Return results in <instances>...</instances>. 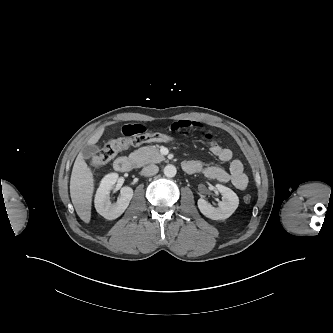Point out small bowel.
<instances>
[{"label":"small bowel","mask_w":333,"mask_h":333,"mask_svg":"<svg viewBox=\"0 0 333 333\" xmlns=\"http://www.w3.org/2000/svg\"><path fill=\"white\" fill-rule=\"evenodd\" d=\"M148 129L141 124H125L122 132L126 136L134 137L146 133ZM166 130L171 133H179L181 135L199 134L210 141V151L222 162H230L229 169L219 166L204 165L198 160H187L183 163V168L189 173H202L207 178L217 180L219 182H231L238 190H244L248 185V176L244 171L242 162L233 159L232 151L227 147H222L216 141L213 131L207 129L201 123L193 121H176L169 125Z\"/></svg>","instance_id":"small-bowel-1"}]
</instances>
